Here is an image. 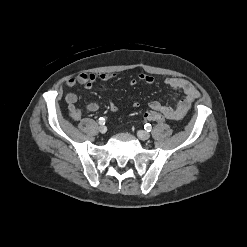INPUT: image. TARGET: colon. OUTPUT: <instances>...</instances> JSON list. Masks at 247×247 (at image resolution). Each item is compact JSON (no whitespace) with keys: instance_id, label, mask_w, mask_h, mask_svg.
I'll return each mask as SVG.
<instances>
[{"instance_id":"obj_1","label":"colon","mask_w":247,"mask_h":247,"mask_svg":"<svg viewBox=\"0 0 247 247\" xmlns=\"http://www.w3.org/2000/svg\"><path fill=\"white\" fill-rule=\"evenodd\" d=\"M143 118L148 121L163 122L166 117L158 111L149 110L143 114Z\"/></svg>"}]
</instances>
